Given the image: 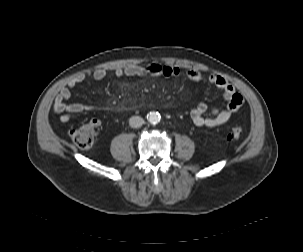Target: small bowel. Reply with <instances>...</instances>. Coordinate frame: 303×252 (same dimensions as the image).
Masks as SVG:
<instances>
[{
	"instance_id": "small-bowel-1",
	"label": "small bowel",
	"mask_w": 303,
	"mask_h": 252,
	"mask_svg": "<svg viewBox=\"0 0 303 252\" xmlns=\"http://www.w3.org/2000/svg\"><path fill=\"white\" fill-rule=\"evenodd\" d=\"M115 77H175L183 74V71L171 64L152 63L148 66L129 65L124 68L116 69L111 72ZM194 80L202 81L219 89L226 98V105L223 108H214L207 115V106L200 102L190 111V119L192 123L199 127L213 128L226 123L232 115L239 110L244 102L243 96L230 84L225 78L216 75H203L198 71H190L185 73ZM108 75L105 69H97L82 73L72 79L67 85L63 86L53 101V112L59 115L61 123L70 121L71 113H82L91 111L97 107L83 103L68 104L66 101L70 98L71 92L87 78L93 80H102ZM101 106H98V108Z\"/></svg>"
}]
</instances>
